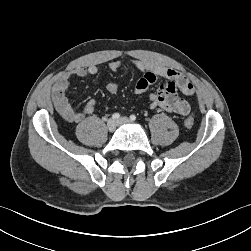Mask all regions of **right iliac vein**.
I'll list each match as a JSON object with an SVG mask.
<instances>
[{
  "label": "right iliac vein",
  "mask_w": 251,
  "mask_h": 251,
  "mask_svg": "<svg viewBox=\"0 0 251 251\" xmlns=\"http://www.w3.org/2000/svg\"><path fill=\"white\" fill-rule=\"evenodd\" d=\"M117 125H118V121L115 119H109L107 122V128L110 132L115 131Z\"/></svg>",
  "instance_id": "right-iliac-vein-1"
}]
</instances>
